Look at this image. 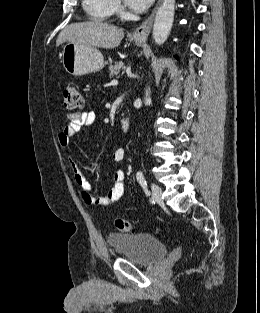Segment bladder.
<instances>
[{
    "label": "bladder",
    "instance_id": "bladder-1",
    "mask_svg": "<svg viewBox=\"0 0 260 313\" xmlns=\"http://www.w3.org/2000/svg\"><path fill=\"white\" fill-rule=\"evenodd\" d=\"M107 241L123 258L141 266H152L168 253L163 242L146 233L108 234Z\"/></svg>",
    "mask_w": 260,
    "mask_h": 313
}]
</instances>
